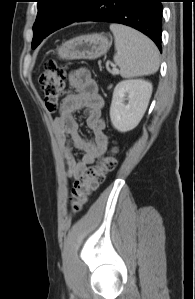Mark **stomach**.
Segmentation results:
<instances>
[{
	"label": "stomach",
	"instance_id": "obj_1",
	"mask_svg": "<svg viewBox=\"0 0 195 299\" xmlns=\"http://www.w3.org/2000/svg\"><path fill=\"white\" fill-rule=\"evenodd\" d=\"M111 42L103 33L80 35L57 48L60 59H97L106 54Z\"/></svg>",
	"mask_w": 195,
	"mask_h": 299
}]
</instances>
